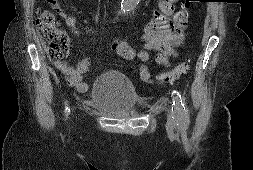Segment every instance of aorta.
Here are the masks:
<instances>
[{"label":"aorta","instance_id":"aorta-1","mask_svg":"<svg viewBox=\"0 0 253 170\" xmlns=\"http://www.w3.org/2000/svg\"><path fill=\"white\" fill-rule=\"evenodd\" d=\"M140 0H122L121 1V10L122 12H128L130 10H133L137 7Z\"/></svg>","mask_w":253,"mask_h":170}]
</instances>
